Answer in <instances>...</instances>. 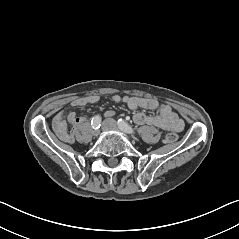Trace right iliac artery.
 <instances>
[{
    "instance_id": "82829eb1",
    "label": "right iliac artery",
    "mask_w": 239,
    "mask_h": 239,
    "mask_svg": "<svg viewBox=\"0 0 239 239\" xmlns=\"http://www.w3.org/2000/svg\"><path fill=\"white\" fill-rule=\"evenodd\" d=\"M91 125L93 129H99L101 126V117L99 115L94 116L91 120Z\"/></svg>"
}]
</instances>
